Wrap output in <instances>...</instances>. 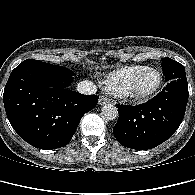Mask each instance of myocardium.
<instances>
[{
	"label": "myocardium",
	"mask_w": 195,
	"mask_h": 195,
	"mask_svg": "<svg viewBox=\"0 0 195 195\" xmlns=\"http://www.w3.org/2000/svg\"><path fill=\"white\" fill-rule=\"evenodd\" d=\"M147 72H154L157 75V83L155 86L147 91L139 92L135 89V85L138 79ZM163 82V77L161 72L158 69L152 67H145L140 70L129 82L126 90L120 95V97H124L130 99L132 101H144L152 97L154 94L158 92Z\"/></svg>",
	"instance_id": "1"
}]
</instances>
